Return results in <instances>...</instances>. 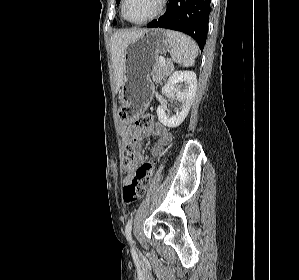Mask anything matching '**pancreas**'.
Returning a JSON list of instances; mask_svg holds the SVG:
<instances>
[{"instance_id": "1", "label": "pancreas", "mask_w": 299, "mask_h": 280, "mask_svg": "<svg viewBox=\"0 0 299 280\" xmlns=\"http://www.w3.org/2000/svg\"><path fill=\"white\" fill-rule=\"evenodd\" d=\"M171 69L170 65L165 63V66H161L159 60L154 65L153 71H152V80L156 84H160L162 79H164L166 76L169 75Z\"/></svg>"}]
</instances>
